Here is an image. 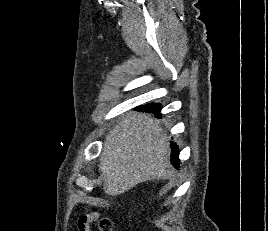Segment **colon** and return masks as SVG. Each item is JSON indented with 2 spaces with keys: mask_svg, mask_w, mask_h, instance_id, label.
<instances>
[{
  "mask_svg": "<svg viewBox=\"0 0 268 231\" xmlns=\"http://www.w3.org/2000/svg\"><path fill=\"white\" fill-rule=\"evenodd\" d=\"M91 219H92V216H89L87 218V221H90ZM97 230L98 231H115V226L111 218L107 216H101L98 219Z\"/></svg>",
  "mask_w": 268,
  "mask_h": 231,
  "instance_id": "obj_1",
  "label": "colon"
}]
</instances>
